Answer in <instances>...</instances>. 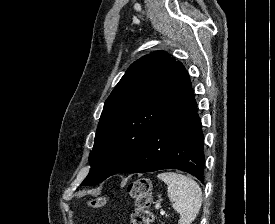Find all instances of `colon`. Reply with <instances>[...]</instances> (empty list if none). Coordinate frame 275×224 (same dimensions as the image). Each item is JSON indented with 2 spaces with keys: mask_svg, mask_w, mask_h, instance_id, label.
Here are the masks:
<instances>
[{
  "mask_svg": "<svg viewBox=\"0 0 275 224\" xmlns=\"http://www.w3.org/2000/svg\"><path fill=\"white\" fill-rule=\"evenodd\" d=\"M127 191L136 204V209L131 215V224H151L153 218L150 210L152 203L151 181L145 177L139 178L128 186ZM104 202V198H97L92 201V204L100 206Z\"/></svg>",
  "mask_w": 275,
  "mask_h": 224,
  "instance_id": "5ec220e1",
  "label": "colon"
}]
</instances>
